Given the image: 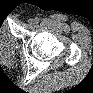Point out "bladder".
<instances>
[{
    "instance_id": "1",
    "label": "bladder",
    "mask_w": 93,
    "mask_h": 93,
    "mask_svg": "<svg viewBox=\"0 0 93 93\" xmlns=\"http://www.w3.org/2000/svg\"><path fill=\"white\" fill-rule=\"evenodd\" d=\"M0 36H1V44L3 46H7L10 44H13L14 42V38L12 37L11 33L9 30L4 29L0 32Z\"/></svg>"
}]
</instances>
